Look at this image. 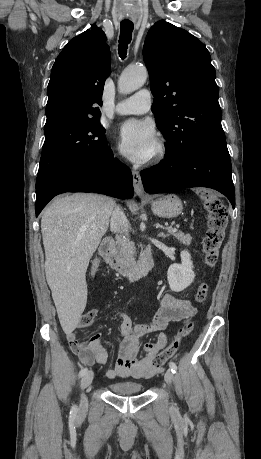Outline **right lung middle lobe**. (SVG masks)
Segmentation results:
<instances>
[{"label":"right lung middle lobe","mask_w":261,"mask_h":459,"mask_svg":"<svg viewBox=\"0 0 261 459\" xmlns=\"http://www.w3.org/2000/svg\"><path fill=\"white\" fill-rule=\"evenodd\" d=\"M44 131L45 142L36 182L67 165L105 160L109 155L105 130L99 120L62 124Z\"/></svg>","instance_id":"dd1d6c3e"}]
</instances>
